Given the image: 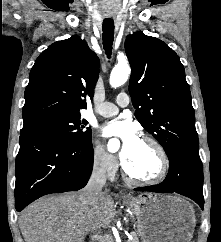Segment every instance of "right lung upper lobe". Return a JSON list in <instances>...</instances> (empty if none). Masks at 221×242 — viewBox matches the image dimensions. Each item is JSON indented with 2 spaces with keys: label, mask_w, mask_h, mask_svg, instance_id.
<instances>
[{
  "label": "right lung upper lobe",
  "mask_w": 221,
  "mask_h": 242,
  "mask_svg": "<svg viewBox=\"0 0 221 242\" xmlns=\"http://www.w3.org/2000/svg\"><path fill=\"white\" fill-rule=\"evenodd\" d=\"M99 59L77 36L57 41L36 59L25 90L24 125L80 114L93 96Z\"/></svg>",
  "instance_id": "obj_1"
}]
</instances>
